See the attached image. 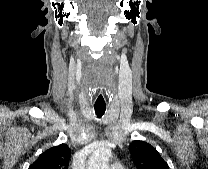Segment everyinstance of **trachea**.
<instances>
[{
    "instance_id": "obj_1",
    "label": "trachea",
    "mask_w": 208,
    "mask_h": 169,
    "mask_svg": "<svg viewBox=\"0 0 208 169\" xmlns=\"http://www.w3.org/2000/svg\"><path fill=\"white\" fill-rule=\"evenodd\" d=\"M94 109H95V113L97 115V117H102L106 111V105L103 106H98V105H94Z\"/></svg>"
}]
</instances>
